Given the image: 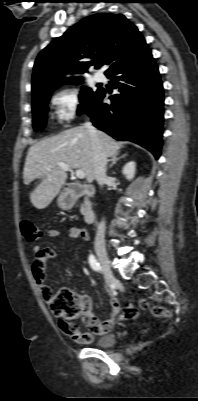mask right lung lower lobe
<instances>
[{
  "label": "right lung lower lobe",
  "instance_id": "1",
  "mask_svg": "<svg viewBox=\"0 0 198 401\" xmlns=\"http://www.w3.org/2000/svg\"><path fill=\"white\" fill-rule=\"evenodd\" d=\"M120 94L102 89L86 113L93 125L117 140L133 141L159 158L163 133V86L147 44L106 74Z\"/></svg>",
  "mask_w": 198,
  "mask_h": 401
}]
</instances>
